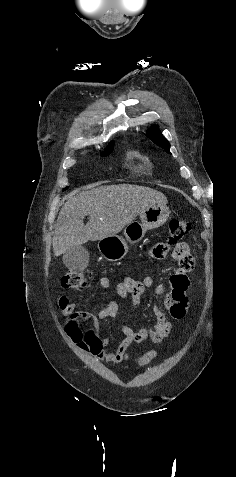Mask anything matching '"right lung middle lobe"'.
Here are the masks:
<instances>
[{
  "label": "right lung middle lobe",
  "mask_w": 236,
  "mask_h": 477,
  "mask_svg": "<svg viewBox=\"0 0 236 477\" xmlns=\"http://www.w3.org/2000/svg\"><path fill=\"white\" fill-rule=\"evenodd\" d=\"M111 151H112V150H106V151L102 154V156H108V155L111 153ZM67 188H68V186L65 187L63 190H66Z\"/></svg>",
  "instance_id": "right-lung-middle-lobe-1"
}]
</instances>
